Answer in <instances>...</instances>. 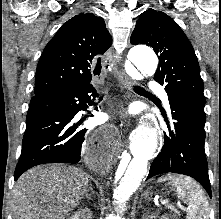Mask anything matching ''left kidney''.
Masks as SVG:
<instances>
[{"mask_svg":"<svg viewBox=\"0 0 221 219\" xmlns=\"http://www.w3.org/2000/svg\"><path fill=\"white\" fill-rule=\"evenodd\" d=\"M153 218V216H151ZM161 219H169L166 215L162 216Z\"/></svg>","mask_w":221,"mask_h":219,"instance_id":"obj_1","label":"left kidney"}]
</instances>
